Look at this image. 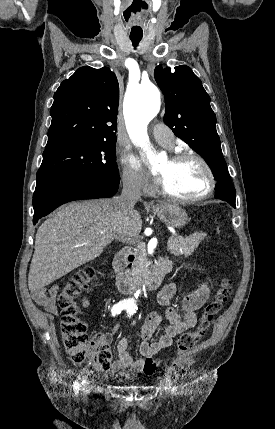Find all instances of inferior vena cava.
<instances>
[{"label": "inferior vena cava", "mask_w": 275, "mask_h": 429, "mask_svg": "<svg viewBox=\"0 0 275 429\" xmlns=\"http://www.w3.org/2000/svg\"><path fill=\"white\" fill-rule=\"evenodd\" d=\"M140 196L141 182L132 176L125 177L121 195L116 197L118 208L123 212L133 210Z\"/></svg>", "instance_id": "obj_1"}]
</instances>
